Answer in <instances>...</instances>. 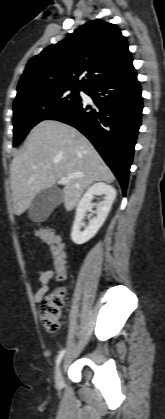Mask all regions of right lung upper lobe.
<instances>
[{"instance_id": "right-lung-upper-lobe-1", "label": "right lung upper lobe", "mask_w": 165, "mask_h": 419, "mask_svg": "<svg viewBox=\"0 0 165 419\" xmlns=\"http://www.w3.org/2000/svg\"><path fill=\"white\" fill-rule=\"evenodd\" d=\"M132 63L128 43L114 24L92 20L31 58L16 100L55 88L88 90ZM80 75H84L81 81Z\"/></svg>"}]
</instances>
